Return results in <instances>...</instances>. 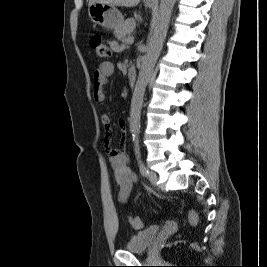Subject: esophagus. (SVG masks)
I'll list each match as a JSON object with an SVG mask.
<instances>
[{
	"label": "esophagus",
	"instance_id": "1",
	"mask_svg": "<svg viewBox=\"0 0 267 267\" xmlns=\"http://www.w3.org/2000/svg\"><path fill=\"white\" fill-rule=\"evenodd\" d=\"M146 1H149V2H158V0H146Z\"/></svg>",
	"mask_w": 267,
	"mask_h": 267
}]
</instances>
